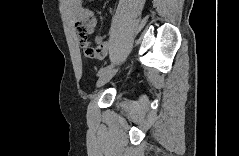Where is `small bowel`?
Masks as SVG:
<instances>
[{"label": "small bowel", "mask_w": 239, "mask_h": 156, "mask_svg": "<svg viewBox=\"0 0 239 156\" xmlns=\"http://www.w3.org/2000/svg\"><path fill=\"white\" fill-rule=\"evenodd\" d=\"M68 10L74 19L76 28L79 23H84L88 21L90 23L89 31L90 32L93 31L94 26L96 24L95 18L93 17V13L90 10H87L83 7L81 1L79 0L70 1ZM78 41L84 49V44L81 42V37L79 34H78ZM97 43H98V46L93 47L94 51L92 53H88L85 51L87 56L91 58L100 59L106 55L108 47H109L108 43L102 41L100 38H97Z\"/></svg>", "instance_id": "c3829d8e"}]
</instances>
